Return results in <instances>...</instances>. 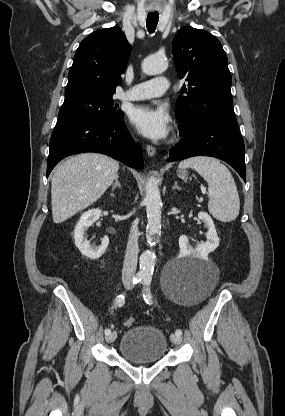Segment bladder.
Here are the masks:
<instances>
[{
  "label": "bladder",
  "instance_id": "1",
  "mask_svg": "<svg viewBox=\"0 0 285 416\" xmlns=\"http://www.w3.org/2000/svg\"><path fill=\"white\" fill-rule=\"evenodd\" d=\"M117 346L123 360L156 363L165 357L167 337L155 326L137 325L121 336Z\"/></svg>",
  "mask_w": 285,
  "mask_h": 416
}]
</instances>
